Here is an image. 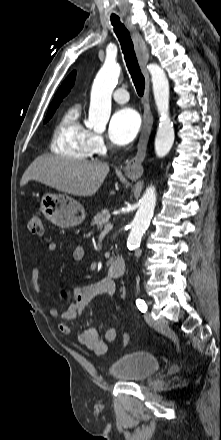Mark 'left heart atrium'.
I'll list each match as a JSON object with an SVG mask.
<instances>
[{
  "label": "left heart atrium",
  "instance_id": "1",
  "mask_svg": "<svg viewBox=\"0 0 221 440\" xmlns=\"http://www.w3.org/2000/svg\"><path fill=\"white\" fill-rule=\"evenodd\" d=\"M140 128V117L131 108L119 109L112 116L109 123V136L117 145H125L131 142Z\"/></svg>",
  "mask_w": 221,
  "mask_h": 440
}]
</instances>
